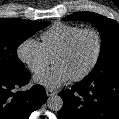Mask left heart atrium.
Returning <instances> with one entry per match:
<instances>
[{
    "mask_svg": "<svg viewBox=\"0 0 119 119\" xmlns=\"http://www.w3.org/2000/svg\"><path fill=\"white\" fill-rule=\"evenodd\" d=\"M71 78L63 67L55 65L39 72L35 76V81L49 88H57L71 80Z\"/></svg>",
    "mask_w": 119,
    "mask_h": 119,
    "instance_id": "39dd6f15",
    "label": "left heart atrium"
}]
</instances>
